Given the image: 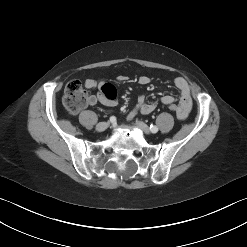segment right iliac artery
I'll list each match as a JSON object with an SVG mask.
<instances>
[{"mask_svg":"<svg viewBox=\"0 0 247 247\" xmlns=\"http://www.w3.org/2000/svg\"><path fill=\"white\" fill-rule=\"evenodd\" d=\"M116 121V118L114 116L110 117V122L114 123Z\"/></svg>","mask_w":247,"mask_h":247,"instance_id":"82829eb1","label":"right iliac artery"}]
</instances>
